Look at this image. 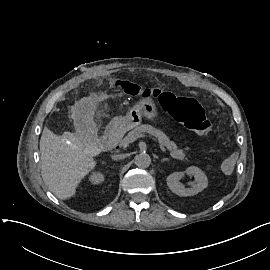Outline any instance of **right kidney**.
I'll list each match as a JSON object with an SVG mask.
<instances>
[{"label": "right kidney", "mask_w": 270, "mask_h": 270, "mask_svg": "<svg viewBox=\"0 0 270 270\" xmlns=\"http://www.w3.org/2000/svg\"><path fill=\"white\" fill-rule=\"evenodd\" d=\"M89 181L94 185L100 184L104 181V175L100 172H93L89 177Z\"/></svg>", "instance_id": "right-kidney-1"}]
</instances>
